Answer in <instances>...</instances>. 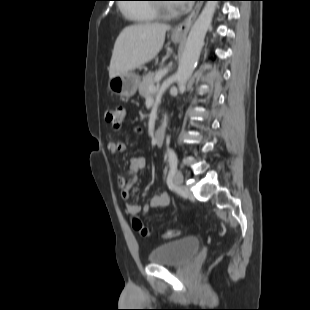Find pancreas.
<instances>
[{"label":"pancreas","instance_id":"obj_1","mask_svg":"<svg viewBox=\"0 0 310 310\" xmlns=\"http://www.w3.org/2000/svg\"><path fill=\"white\" fill-rule=\"evenodd\" d=\"M154 84H155V74L150 72L147 75H145L142 81L139 83L138 85L139 94L144 98L149 97L151 95L149 88L151 86H154Z\"/></svg>","mask_w":310,"mask_h":310}]
</instances>
